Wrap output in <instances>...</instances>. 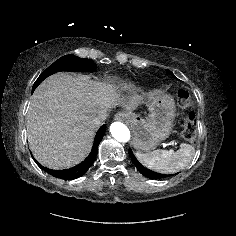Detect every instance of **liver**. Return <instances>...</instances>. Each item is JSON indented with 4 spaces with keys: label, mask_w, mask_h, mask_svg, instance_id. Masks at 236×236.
Here are the masks:
<instances>
[{
    "label": "liver",
    "mask_w": 236,
    "mask_h": 236,
    "mask_svg": "<svg viewBox=\"0 0 236 236\" xmlns=\"http://www.w3.org/2000/svg\"><path fill=\"white\" fill-rule=\"evenodd\" d=\"M141 98L120 95L115 84L57 73L45 79L32 95L27 113V137L36 160L50 169H66L89 154L96 128L111 108L122 104L134 110Z\"/></svg>",
    "instance_id": "obj_1"
}]
</instances>
